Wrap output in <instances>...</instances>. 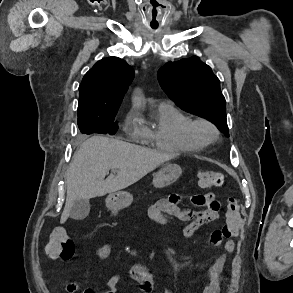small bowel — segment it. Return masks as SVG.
Segmentation results:
<instances>
[{
	"instance_id": "small-bowel-1",
	"label": "small bowel",
	"mask_w": 293,
	"mask_h": 293,
	"mask_svg": "<svg viewBox=\"0 0 293 293\" xmlns=\"http://www.w3.org/2000/svg\"><path fill=\"white\" fill-rule=\"evenodd\" d=\"M181 196L177 193L170 194L155 202L148 209V216L156 223L165 224L174 219L187 222L188 225L183 229V237L191 239L196 231L204 224L216 220L219 217V202L212 192L205 194H195L192 196V203L200 210H184L180 206ZM225 237V236H224ZM210 243L215 246H222L226 252L232 253L235 249V241L232 237L223 238L220 231H213L210 234ZM112 251L108 243L99 246L94 255L97 259L107 258ZM226 255H220L209 268V282L203 289V293H218L220 287L221 273L226 263ZM122 274H114L106 282L102 289H82L76 283H69L66 286L67 293H119V284ZM131 280L139 285L143 293H151L154 287V274L150 269L140 263H135L129 271ZM163 293H174L171 289H165Z\"/></svg>"
}]
</instances>
